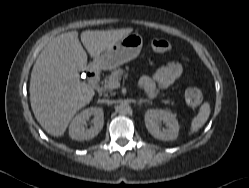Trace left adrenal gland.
<instances>
[{
  "instance_id": "a2214340",
  "label": "left adrenal gland",
  "mask_w": 249,
  "mask_h": 188,
  "mask_svg": "<svg viewBox=\"0 0 249 188\" xmlns=\"http://www.w3.org/2000/svg\"><path fill=\"white\" fill-rule=\"evenodd\" d=\"M146 102H150L148 99H140L139 100V104H142V103H146Z\"/></svg>"
}]
</instances>
